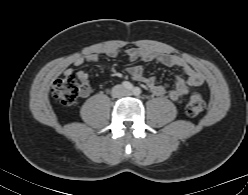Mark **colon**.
<instances>
[{"mask_svg": "<svg viewBox=\"0 0 248 195\" xmlns=\"http://www.w3.org/2000/svg\"><path fill=\"white\" fill-rule=\"evenodd\" d=\"M85 87L86 85L80 83L74 75H67L55 80L51 88V94L60 104L70 106L76 101ZM204 107L205 101L203 97L197 92H192L186 105V113L189 116H196Z\"/></svg>", "mask_w": 248, "mask_h": 195, "instance_id": "1", "label": "colon"}]
</instances>
